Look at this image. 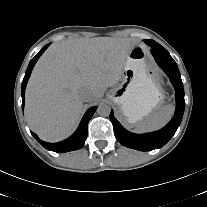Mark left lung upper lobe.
Masks as SVG:
<instances>
[{"label":"left lung upper lobe","instance_id":"1","mask_svg":"<svg viewBox=\"0 0 207 207\" xmlns=\"http://www.w3.org/2000/svg\"><path fill=\"white\" fill-rule=\"evenodd\" d=\"M146 44L148 45H155V46H159L160 44H158L157 42L153 41V40H145ZM152 47V46H151Z\"/></svg>","mask_w":207,"mask_h":207}]
</instances>
